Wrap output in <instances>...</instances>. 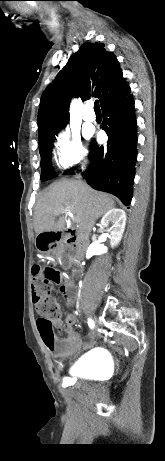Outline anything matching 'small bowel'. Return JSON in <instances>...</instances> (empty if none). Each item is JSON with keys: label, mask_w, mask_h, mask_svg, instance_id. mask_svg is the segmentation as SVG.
Instances as JSON below:
<instances>
[{"label": "small bowel", "mask_w": 165, "mask_h": 461, "mask_svg": "<svg viewBox=\"0 0 165 461\" xmlns=\"http://www.w3.org/2000/svg\"><path fill=\"white\" fill-rule=\"evenodd\" d=\"M74 260L76 261L77 259L75 258ZM63 268L68 270L70 265L65 263ZM64 282L65 279L61 278L60 283H57V290L62 291L60 296L64 298L66 303H71L73 301V296L67 295L65 292ZM74 322L75 318L72 314H66L64 320H60L59 318L52 320L55 328L63 330L66 333V336L63 339L56 341V345L53 349H49L55 357L63 358L76 350L86 349L92 345V341L85 344L82 342L79 333L73 329Z\"/></svg>", "instance_id": "small-bowel-1"}]
</instances>
